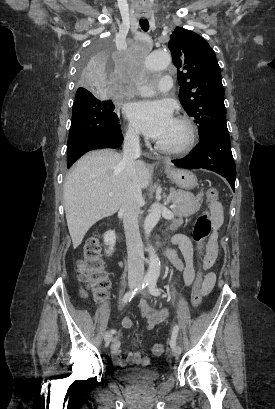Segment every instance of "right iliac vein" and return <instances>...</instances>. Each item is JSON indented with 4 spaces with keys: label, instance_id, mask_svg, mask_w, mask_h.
<instances>
[{
    "label": "right iliac vein",
    "instance_id": "right-iliac-vein-1",
    "mask_svg": "<svg viewBox=\"0 0 275 409\" xmlns=\"http://www.w3.org/2000/svg\"><path fill=\"white\" fill-rule=\"evenodd\" d=\"M138 286V282H136V281H131V282H129V287L131 288V289H134V288H136ZM111 340H112V333L111 332H106L105 334H104V341H105V343L106 344H109L110 342H111Z\"/></svg>",
    "mask_w": 275,
    "mask_h": 409
}]
</instances>
